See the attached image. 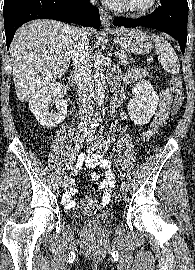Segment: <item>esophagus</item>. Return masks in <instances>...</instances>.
<instances>
[{
    "label": "esophagus",
    "instance_id": "1",
    "mask_svg": "<svg viewBox=\"0 0 195 270\" xmlns=\"http://www.w3.org/2000/svg\"><path fill=\"white\" fill-rule=\"evenodd\" d=\"M100 18H101V23L104 27H107V28L110 27L112 17L103 8L100 9Z\"/></svg>",
    "mask_w": 195,
    "mask_h": 270
}]
</instances>
